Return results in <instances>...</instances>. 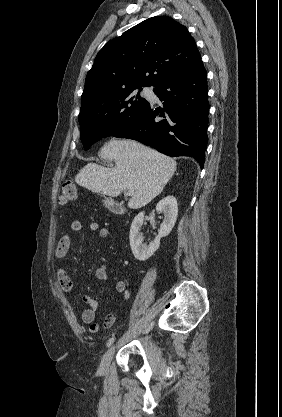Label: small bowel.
<instances>
[{"label":"small bowel","mask_w":282,"mask_h":417,"mask_svg":"<svg viewBox=\"0 0 282 417\" xmlns=\"http://www.w3.org/2000/svg\"><path fill=\"white\" fill-rule=\"evenodd\" d=\"M82 229V223L79 220H73L69 224L68 233L64 234L55 249V258L58 261L64 259L70 249L71 245V235L80 232ZM89 229L91 231H96L100 239L106 240L110 236V231L107 227H100L96 222H91L89 224ZM57 281L61 289L65 293H70L73 288V283L68 275L67 271L63 267H58L56 271ZM95 277L97 280L105 282L113 286L114 290L122 295L124 300H128L130 297V292L126 287V284L121 280L111 279L108 275L107 269L104 266L97 268L95 272ZM82 300L85 304L88 305V308L82 313V320L85 324L89 325V331L91 333H96L99 331L100 326L95 322V315L98 309V302L96 299L91 297L88 294L82 295ZM116 315L114 312H110L106 315L103 327L105 329L111 328L115 323Z\"/></svg>","instance_id":"c3829d8e"}]
</instances>
